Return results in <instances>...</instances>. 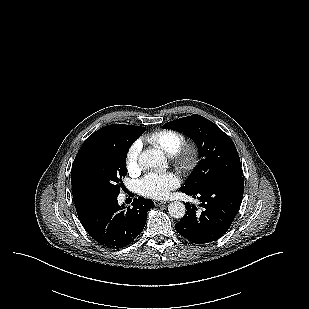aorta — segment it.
<instances>
[{"instance_id":"aorta-1","label":"aorta","mask_w":309,"mask_h":309,"mask_svg":"<svg viewBox=\"0 0 309 309\" xmlns=\"http://www.w3.org/2000/svg\"><path fill=\"white\" fill-rule=\"evenodd\" d=\"M163 152L156 149L145 150L139 155V164L148 169H156L165 165ZM168 212L171 217L183 218L186 212L185 205L180 201H174L168 205Z\"/></svg>"}]
</instances>
